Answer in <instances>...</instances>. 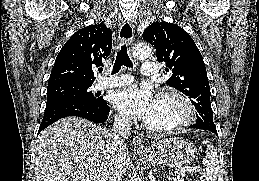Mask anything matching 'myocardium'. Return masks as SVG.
<instances>
[{
  "label": "myocardium",
  "instance_id": "myocardium-1",
  "mask_svg": "<svg viewBox=\"0 0 259 181\" xmlns=\"http://www.w3.org/2000/svg\"><path fill=\"white\" fill-rule=\"evenodd\" d=\"M158 99L170 98L177 102L182 110V116L180 120L169 126H153L148 123L145 124L146 129L149 132L159 134V135H168L178 132L186 127H188L194 120L193 108L189 100L177 89L173 87L163 88L157 95Z\"/></svg>",
  "mask_w": 259,
  "mask_h": 181
}]
</instances>
